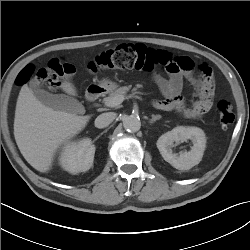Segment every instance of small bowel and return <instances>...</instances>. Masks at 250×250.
I'll list each match as a JSON object with an SVG mask.
<instances>
[{
    "label": "small bowel",
    "instance_id": "1",
    "mask_svg": "<svg viewBox=\"0 0 250 250\" xmlns=\"http://www.w3.org/2000/svg\"><path fill=\"white\" fill-rule=\"evenodd\" d=\"M189 62L191 64L190 68L184 71L183 74H171L168 79L160 76L159 74H154L153 80L165 97L164 100L157 101L158 109L165 111H175L181 114L184 118L190 120H199L211 108L212 100L208 95L205 100L192 103V106H186L181 96L183 78L185 77L186 79H188L194 86L200 78V76H197L194 73L191 61Z\"/></svg>",
    "mask_w": 250,
    "mask_h": 250
}]
</instances>
